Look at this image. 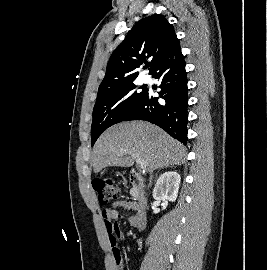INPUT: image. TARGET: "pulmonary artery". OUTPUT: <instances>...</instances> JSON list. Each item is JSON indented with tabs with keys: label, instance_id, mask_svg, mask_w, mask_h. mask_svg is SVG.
Masks as SVG:
<instances>
[{
	"label": "pulmonary artery",
	"instance_id": "pulmonary-artery-1",
	"mask_svg": "<svg viewBox=\"0 0 267 270\" xmlns=\"http://www.w3.org/2000/svg\"><path fill=\"white\" fill-rule=\"evenodd\" d=\"M149 81H150V77L149 76L145 75V76L142 77V82L148 83Z\"/></svg>",
	"mask_w": 267,
	"mask_h": 270
}]
</instances>
